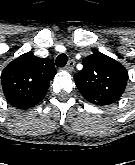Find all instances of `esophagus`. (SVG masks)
<instances>
[{
    "label": "esophagus",
    "mask_w": 135,
    "mask_h": 165,
    "mask_svg": "<svg viewBox=\"0 0 135 165\" xmlns=\"http://www.w3.org/2000/svg\"><path fill=\"white\" fill-rule=\"evenodd\" d=\"M75 66V61L74 60H70L67 65L64 67V69L68 72H72Z\"/></svg>",
    "instance_id": "1"
}]
</instances>
